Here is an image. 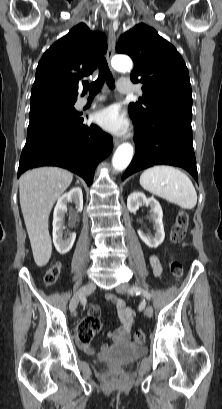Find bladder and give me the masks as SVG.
<instances>
[{
  "label": "bladder",
  "instance_id": "31cf9c89",
  "mask_svg": "<svg viewBox=\"0 0 222 409\" xmlns=\"http://www.w3.org/2000/svg\"><path fill=\"white\" fill-rule=\"evenodd\" d=\"M146 349L134 343H119L97 356L99 364L116 363L121 366H129L137 358L143 356Z\"/></svg>",
  "mask_w": 222,
  "mask_h": 409
}]
</instances>
